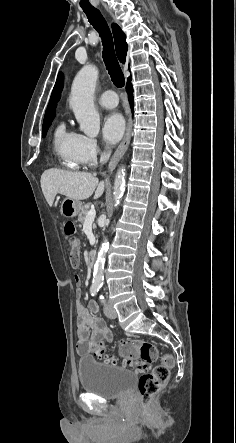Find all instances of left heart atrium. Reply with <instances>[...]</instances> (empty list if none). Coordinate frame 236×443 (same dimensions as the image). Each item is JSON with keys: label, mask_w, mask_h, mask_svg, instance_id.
<instances>
[{"label": "left heart atrium", "mask_w": 236, "mask_h": 443, "mask_svg": "<svg viewBox=\"0 0 236 443\" xmlns=\"http://www.w3.org/2000/svg\"><path fill=\"white\" fill-rule=\"evenodd\" d=\"M101 127L104 139L108 143H116L123 136L125 122L119 113L112 112L104 116Z\"/></svg>", "instance_id": "obj_1"}]
</instances>
